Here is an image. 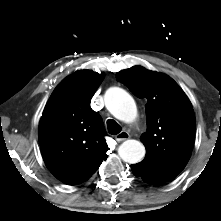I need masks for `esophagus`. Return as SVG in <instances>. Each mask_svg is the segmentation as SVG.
<instances>
[{
  "instance_id": "1",
  "label": "esophagus",
  "mask_w": 221,
  "mask_h": 221,
  "mask_svg": "<svg viewBox=\"0 0 221 221\" xmlns=\"http://www.w3.org/2000/svg\"><path fill=\"white\" fill-rule=\"evenodd\" d=\"M115 138L118 142H122V141L129 139L130 134L127 131H122L119 134H117Z\"/></svg>"
}]
</instances>
